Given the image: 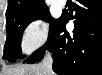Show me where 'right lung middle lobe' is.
I'll return each instance as SVG.
<instances>
[{
  "label": "right lung middle lobe",
  "instance_id": "dd1d6c3e",
  "mask_svg": "<svg viewBox=\"0 0 102 75\" xmlns=\"http://www.w3.org/2000/svg\"><path fill=\"white\" fill-rule=\"evenodd\" d=\"M6 18L7 39L4 46L3 59H7L9 62L24 58L20 47L21 37L30 22L37 19L48 21L50 22V32L57 21V19H52L46 5L35 10L8 15Z\"/></svg>",
  "mask_w": 102,
  "mask_h": 75
}]
</instances>
